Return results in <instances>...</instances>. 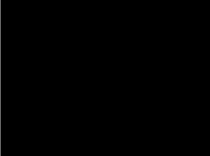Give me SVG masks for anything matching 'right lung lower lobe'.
Listing matches in <instances>:
<instances>
[{
    "mask_svg": "<svg viewBox=\"0 0 210 156\" xmlns=\"http://www.w3.org/2000/svg\"><path fill=\"white\" fill-rule=\"evenodd\" d=\"M78 140V139H77ZM77 140H75V141H77ZM75 141H72V142H66V144H72V143H74Z\"/></svg>",
    "mask_w": 210,
    "mask_h": 156,
    "instance_id": "obj_1",
    "label": "right lung lower lobe"
}]
</instances>
